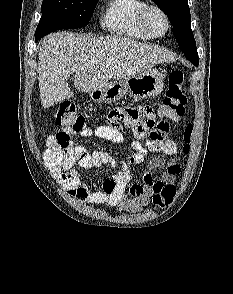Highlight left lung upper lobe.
Here are the masks:
<instances>
[{
    "label": "left lung upper lobe",
    "mask_w": 233,
    "mask_h": 294,
    "mask_svg": "<svg viewBox=\"0 0 233 294\" xmlns=\"http://www.w3.org/2000/svg\"><path fill=\"white\" fill-rule=\"evenodd\" d=\"M168 17L174 28L179 48L192 64L198 66V53L187 0H152Z\"/></svg>",
    "instance_id": "obj_1"
}]
</instances>
